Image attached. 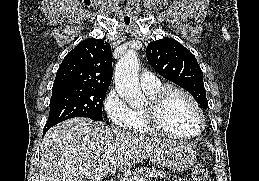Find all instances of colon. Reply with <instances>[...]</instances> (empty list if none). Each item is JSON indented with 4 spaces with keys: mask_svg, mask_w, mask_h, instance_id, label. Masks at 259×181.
Here are the masks:
<instances>
[{
    "mask_svg": "<svg viewBox=\"0 0 259 181\" xmlns=\"http://www.w3.org/2000/svg\"><path fill=\"white\" fill-rule=\"evenodd\" d=\"M189 181H207V169L204 164H196L193 167Z\"/></svg>",
    "mask_w": 259,
    "mask_h": 181,
    "instance_id": "obj_1",
    "label": "colon"
}]
</instances>
